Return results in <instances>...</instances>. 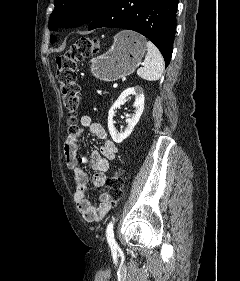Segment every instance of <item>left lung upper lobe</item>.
<instances>
[{"mask_svg":"<svg viewBox=\"0 0 240 281\" xmlns=\"http://www.w3.org/2000/svg\"><path fill=\"white\" fill-rule=\"evenodd\" d=\"M109 0H55L49 29L75 27L91 22ZM55 37L51 36V43Z\"/></svg>","mask_w":240,"mask_h":281,"instance_id":"1","label":"left lung upper lobe"}]
</instances>
